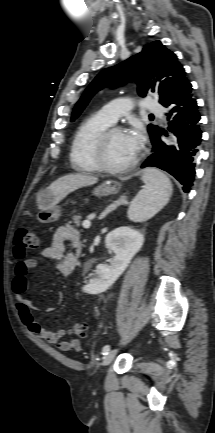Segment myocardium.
<instances>
[{
	"label": "myocardium",
	"mask_w": 215,
	"mask_h": 433,
	"mask_svg": "<svg viewBox=\"0 0 215 433\" xmlns=\"http://www.w3.org/2000/svg\"><path fill=\"white\" fill-rule=\"evenodd\" d=\"M116 132H124L120 126H109L105 129L99 137L96 139L93 156L96 166L99 170L111 173V174H121L132 170L139 162V156L136 155L132 161L123 165L114 167L111 166L106 160V147L110 136Z\"/></svg>",
	"instance_id": "obj_1"
}]
</instances>
